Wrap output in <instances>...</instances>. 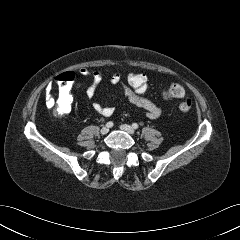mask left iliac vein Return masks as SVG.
I'll list each match as a JSON object with an SVG mask.
<instances>
[{
	"instance_id": "1",
	"label": "left iliac vein",
	"mask_w": 240,
	"mask_h": 240,
	"mask_svg": "<svg viewBox=\"0 0 240 240\" xmlns=\"http://www.w3.org/2000/svg\"><path fill=\"white\" fill-rule=\"evenodd\" d=\"M120 129L123 131H126L127 133H129L131 135H133L135 133V130L130 125H127V124L121 125Z\"/></svg>"
}]
</instances>
